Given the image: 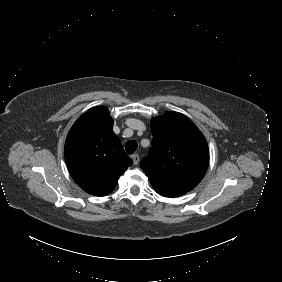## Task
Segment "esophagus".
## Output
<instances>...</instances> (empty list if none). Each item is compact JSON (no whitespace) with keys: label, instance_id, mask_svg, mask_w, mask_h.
Masks as SVG:
<instances>
[{"label":"esophagus","instance_id":"obj_1","mask_svg":"<svg viewBox=\"0 0 282 282\" xmlns=\"http://www.w3.org/2000/svg\"><path fill=\"white\" fill-rule=\"evenodd\" d=\"M133 163H134V165H137L139 163V155L138 154L133 155Z\"/></svg>","mask_w":282,"mask_h":282}]
</instances>
